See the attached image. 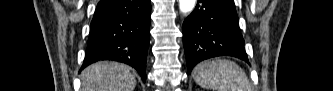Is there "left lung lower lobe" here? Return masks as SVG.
Listing matches in <instances>:
<instances>
[{
	"label": "left lung lower lobe",
	"mask_w": 333,
	"mask_h": 91,
	"mask_svg": "<svg viewBox=\"0 0 333 91\" xmlns=\"http://www.w3.org/2000/svg\"><path fill=\"white\" fill-rule=\"evenodd\" d=\"M188 73L202 60L233 56L248 62L233 0H198L183 23Z\"/></svg>",
	"instance_id": "1"
}]
</instances>
